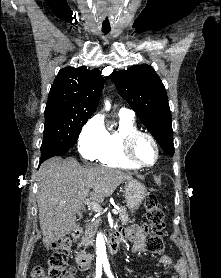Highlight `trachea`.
Wrapping results in <instances>:
<instances>
[{
	"mask_svg": "<svg viewBox=\"0 0 221 278\" xmlns=\"http://www.w3.org/2000/svg\"><path fill=\"white\" fill-rule=\"evenodd\" d=\"M102 32H103L104 34H108L110 31H109V30H102Z\"/></svg>",
	"mask_w": 221,
	"mask_h": 278,
	"instance_id": "1",
	"label": "trachea"
}]
</instances>
